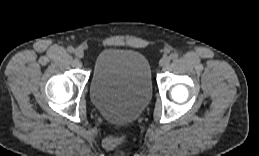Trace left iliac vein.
Returning <instances> with one entry per match:
<instances>
[{"label": "left iliac vein", "mask_w": 259, "mask_h": 156, "mask_svg": "<svg viewBox=\"0 0 259 156\" xmlns=\"http://www.w3.org/2000/svg\"><path fill=\"white\" fill-rule=\"evenodd\" d=\"M171 58L169 56H164L163 58H161L159 65L161 67H166L169 63H170Z\"/></svg>", "instance_id": "4c4485c4"}]
</instances>
